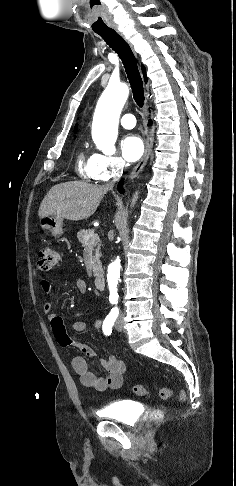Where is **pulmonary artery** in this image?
<instances>
[{
  "mask_svg": "<svg viewBox=\"0 0 236 486\" xmlns=\"http://www.w3.org/2000/svg\"><path fill=\"white\" fill-rule=\"evenodd\" d=\"M121 125L126 129H132L136 125V120L133 114H124L120 119Z\"/></svg>",
  "mask_w": 236,
  "mask_h": 486,
  "instance_id": "e3ab8cb5",
  "label": "pulmonary artery"
}]
</instances>
